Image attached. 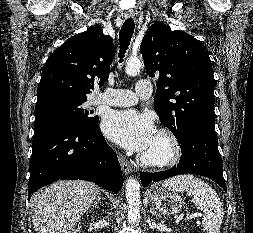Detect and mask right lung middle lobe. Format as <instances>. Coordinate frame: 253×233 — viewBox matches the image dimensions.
<instances>
[{
  "instance_id": "obj_1",
  "label": "right lung middle lobe",
  "mask_w": 253,
  "mask_h": 233,
  "mask_svg": "<svg viewBox=\"0 0 253 233\" xmlns=\"http://www.w3.org/2000/svg\"><path fill=\"white\" fill-rule=\"evenodd\" d=\"M87 99H71L52 97L36 103L34 125L45 121L58 120L68 122L78 127H87L98 121V116H92L83 103Z\"/></svg>"
}]
</instances>
